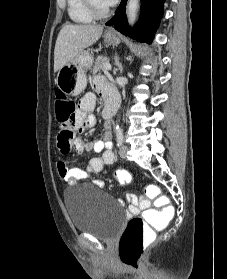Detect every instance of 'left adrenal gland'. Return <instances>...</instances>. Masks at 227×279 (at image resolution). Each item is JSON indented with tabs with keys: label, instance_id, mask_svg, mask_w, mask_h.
Wrapping results in <instances>:
<instances>
[{
	"label": "left adrenal gland",
	"instance_id": "left-adrenal-gland-1",
	"mask_svg": "<svg viewBox=\"0 0 227 279\" xmlns=\"http://www.w3.org/2000/svg\"><path fill=\"white\" fill-rule=\"evenodd\" d=\"M116 65L118 66V69L120 70V72H122V65H121V63H119L118 58H116Z\"/></svg>",
	"mask_w": 227,
	"mask_h": 279
}]
</instances>
